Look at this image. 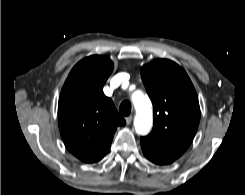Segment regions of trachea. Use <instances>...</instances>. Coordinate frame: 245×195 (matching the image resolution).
Instances as JSON below:
<instances>
[{
    "label": "trachea",
    "mask_w": 245,
    "mask_h": 195,
    "mask_svg": "<svg viewBox=\"0 0 245 195\" xmlns=\"http://www.w3.org/2000/svg\"><path fill=\"white\" fill-rule=\"evenodd\" d=\"M119 112L123 116H128L131 113V103L129 101H123L119 106Z\"/></svg>",
    "instance_id": "trachea-1"
}]
</instances>
